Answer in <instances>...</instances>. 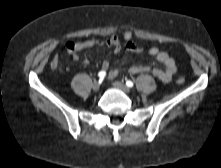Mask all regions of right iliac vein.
I'll use <instances>...</instances> for the list:
<instances>
[{
  "label": "right iliac vein",
  "mask_w": 221,
  "mask_h": 168,
  "mask_svg": "<svg viewBox=\"0 0 221 168\" xmlns=\"http://www.w3.org/2000/svg\"><path fill=\"white\" fill-rule=\"evenodd\" d=\"M92 88L94 91H98L100 89V84L99 82L95 81L92 85Z\"/></svg>",
  "instance_id": "63e3f726"
}]
</instances>
